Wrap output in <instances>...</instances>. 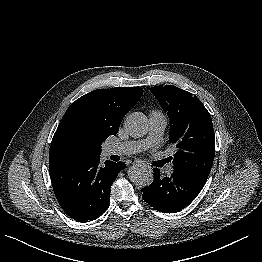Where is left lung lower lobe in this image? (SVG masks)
I'll use <instances>...</instances> for the list:
<instances>
[{
	"label": "left lung lower lobe",
	"mask_w": 262,
	"mask_h": 262,
	"mask_svg": "<svg viewBox=\"0 0 262 262\" xmlns=\"http://www.w3.org/2000/svg\"><path fill=\"white\" fill-rule=\"evenodd\" d=\"M153 171L154 181L143 188V199L163 213L178 212L188 206L206 183L205 179L179 170L164 178H160L159 169Z\"/></svg>",
	"instance_id": "0a47b994"
}]
</instances>
